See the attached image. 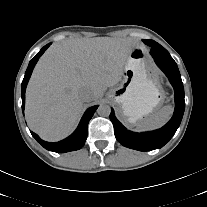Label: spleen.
<instances>
[{
    "label": "spleen",
    "instance_id": "obj_1",
    "mask_svg": "<svg viewBox=\"0 0 207 207\" xmlns=\"http://www.w3.org/2000/svg\"><path fill=\"white\" fill-rule=\"evenodd\" d=\"M173 107L171 105L164 106L158 112L150 115L136 125V130H149L163 126L172 116Z\"/></svg>",
    "mask_w": 207,
    "mask_h": 207
}]
</instances>
